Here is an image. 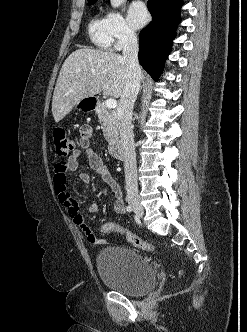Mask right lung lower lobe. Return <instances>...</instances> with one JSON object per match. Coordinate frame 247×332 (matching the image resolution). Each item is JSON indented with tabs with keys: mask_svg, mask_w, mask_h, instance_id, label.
<instances>
[{
	"mask_svg": "<svg viewBox=\"0 0 247 332\" xmlns=\"http://www.w3.org/2000/svg\"><path fill=\"white\" fill-rule=\"evenodd\" d=\"M181 0H148L152 21L139 34V62L158 80L180 22Z\"/></svg>",
	"mask_w": 247,
	"mask_h": 332,
	"instance_id": "obj_1",
	"label": "right lung lower lobe"
}]
</instances>
